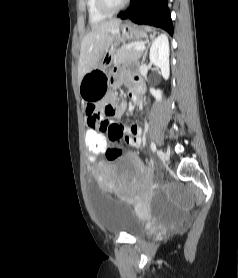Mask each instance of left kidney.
I'll return each instance as SVG.
<instances>
[{"label":"left kidney","instance_id":"left-kidney-1","mask_svg":"<svg viewBox=\"0 0 238 278\" xmlns=\"http://www.w3.org/2000/svg\"><path fill=\"white\" fill-rule=\"evenodd\" d=\"M150 62L161 69L162 76L165 80L169 78V42L166 35L161 34L158 36L150 48ZM151 94L157 101L161 100L162 93L160 90L150 89Z\"/></svg>","mask_w":238,"mask_h":278}]
</instances>
